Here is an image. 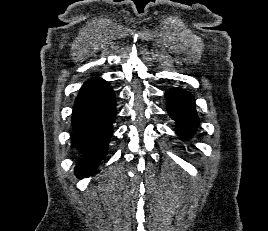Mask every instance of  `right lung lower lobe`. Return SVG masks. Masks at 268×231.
<instances>
[{
	"instance_id": "right-lung-lower-lobe-1",
	"label": "right lung lower lobe",
	"mask_w": 268,
	"mask_h": 231,
	"mask_svg": "<svg viewBox=\"0 0 268 231\" xmlns=\"http://www.w3.org/2000/svg\"><path fill=\"white\" fill-rule=\"evenodd\" d=\"M115 93L108 82L93 78L84 83L75 99L72 113L71 147L77 149V177L95 173L107 153L116 115Z\"/></svg>"
}]
</instances>
